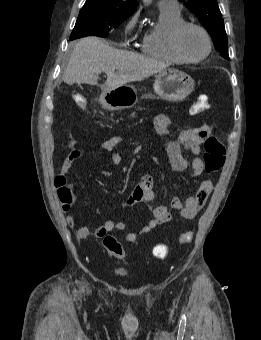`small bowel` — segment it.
<instances>
[{"label":"small bowel","instance_id":"1","mask_svg":"<svg viewBox=\"0 0 261 340\" xmlns=\"http://www.w3.org/2000/svg\"><path fill=\"white\" fill-rule=\"evenodd\" d=\"M171 120L167 115H158L154 119V127L156 133L161 138L163 145L166 149L167 155L171 166L176 171L186 170L189 166L192 168L193 176H199L204 170V163L200 157V145L207 138L211 132V128L207 124L198 127H191L181 131L179 134L174 135L170 131ZM122 141L119 135L112 136L104 140L98 148L95 147H75L65 158L61 171L63 175H67L73 163L81 158L83 155L99 150L108 155L110 162L113 165L121 163V155L114 151L115 147ZM189 151L193 158L191 162L183 154V151ZM102 175L110 177L111 172L102 170ZM154 181L153 176L144 174L140 178L139 183L136 185L130 194L127 204L129 206L136 203H151L155 199V192L153 189ZM213 189L212 182L204 180L200 183L196 193L182 202L178 197H173L171 201V208L179 211L181 217L186 220H191L197 216L200 210L204 207L211 191ZM153 218L141 228V234L150 233L156 227L169 222L172 219V213L167 206H157L152 209ZM66 221L70 227L75 225V218L69 215ZM127 224L123 221L107 220L95 230V235L98 238H103L107 233L117 230L123 231ZM91 231L87 226H81L76 230V236L82 240L89 237ZM137 239V234L128 233L125 235L127 242H134Z\"/></svg>","mask_w":261,"mask_h":340}]
</instances>
